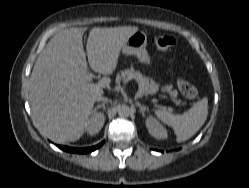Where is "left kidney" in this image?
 Returning a JSON list of instances; mask_svg holds the SVG:
<instances>
[{"label": "left kidney", "mask_w": 249, "mask_h": 188, "mask_svg": "<svg viewBox=\"0 0 249 188\" xmlns=\"http://www.w3.org/2000/svg\"><path fill=\"white\" fill-rule=\"evenodd\" d=\"M146 127L156 139H166L168 137L167 130L152 116L146 119Z\"/></svg>", "instance_id": "obj_1"}]
</instances>
